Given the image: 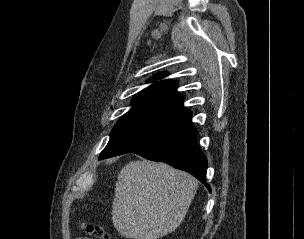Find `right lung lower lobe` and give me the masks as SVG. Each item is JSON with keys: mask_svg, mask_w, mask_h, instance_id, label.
<instances>
[{"mask_svg": "<svg viewBox=\"0 0 304 239\" xmlns=\"http://www.w3.org/2000/svg\"><path fill=\"white\" fill-rule=\"evenodd\" d=\"M191 114L162 126L133 140L101 159L136 153L144 158L165 162L177 169L194 175L200 182L206 183L207 158L197 144L198 131L191 124Z\"/></svg>", "mask_w": 304, "mask_h": 239, "instance_id": "obj_1", "label": "right lung lower lobe"}]
</instances>
